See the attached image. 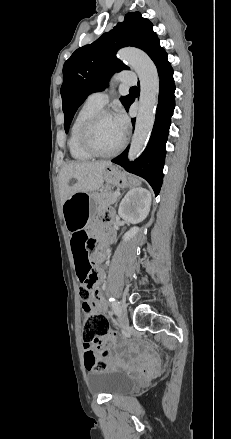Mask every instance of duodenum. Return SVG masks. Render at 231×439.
Here are the masks:
<instances>
[{"label":"duodenum","mask_w":231,"mask_h":439,"mask_svg":"<svg viewBox=\"0 0 231 439\" xmlns=\"http://www.w3.org/2000/svg\"><path fill=\"white\" fill-rule=\"evenodd\" d=\"M107 241H108V239H107L106 237H104V238L101 239V243H102V244L105 243V242H107ZM94 257L97 259V262H98V259H99V255H98V253H95V254H94ZM95 268H96V270H97V273H100V272H101V268H100L99 265H97V263H96V265H95Z\"/></svg>","instance_id":"410a0bca"}]
</instances>
